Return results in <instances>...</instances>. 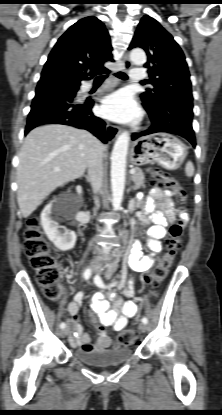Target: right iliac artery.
I'll return each instance as SVG.
<instances>
[{
    "label": "right iliac artery",
    "mask_w": 222,
    "mask_h": 415,
    "mask_svg": "<svg viewBox=\"0 0 222 415\" xmlns=\"http://www.w3.org/2000/svg\"><path fill=\"white\" fill-rule=\"evenodd\" d=\"M90 276H91V269H86L83 273L84 279L88 280L90 278ZM65 326H66V324L64 322H62L60 324V328H62V329L65 328Z\"/></svg>",
    "instance_id": "82829eb1"
}]
</instances>
